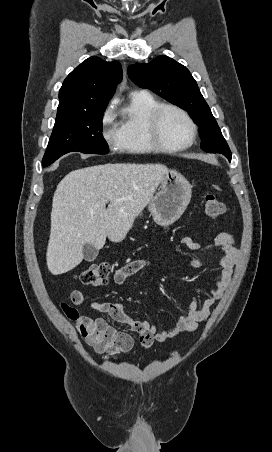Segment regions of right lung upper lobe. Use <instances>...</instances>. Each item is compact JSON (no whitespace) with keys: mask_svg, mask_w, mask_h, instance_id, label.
Masks as SVG:
<instances>
[{"mask_svg":"<svg viewBox=\"0 0 272 452\" xmlns=\"http://www.w3.org/2000/svg\"><path fill=\"white\" fill-rule=\"evenodd\" d=\"M122 79L119 62L96 56L86 59L64 80L59 91L57 117L106 107Z\"/></svg>","mask_w":272,"mask_h":452,"instance_id":"1","label":"right lung upper lobe"}]
</instances>
